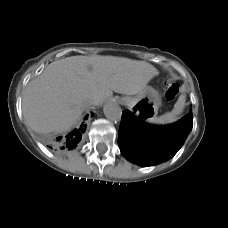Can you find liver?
<instances>
[{
  "label": "liver",
  "mask_w": 228,
  "mask_h": 228,
  "mask_svg": "<svg viewBox=\"0 0 228 228\" xmlns=\"http://www.w3.org/2000/svg\"><path fill=\"white\" fill-rule=\"evenodd\" d=\"M157 74L148 62L122 57L71 56L54 61L26 87L22 100L25 123L37 133L67 129L84 111L86 100L97 106L112 91L139 94Z\"/></svg>",
  "instance_id": "liver-1"
}]
</instances>
